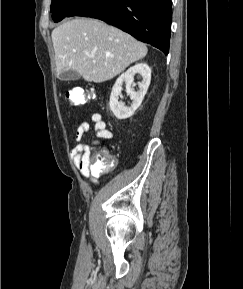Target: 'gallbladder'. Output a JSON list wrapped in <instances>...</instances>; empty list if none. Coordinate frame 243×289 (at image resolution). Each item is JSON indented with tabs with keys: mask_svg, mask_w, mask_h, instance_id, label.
<instances>
[{
	"mask_svg": "<svg viewBox=\"0 0 243 289\" xmlns=\"http://www.w3.org/2000/svg\"><path fill=\"white\" fill-rule=\"evenodd\" d=\"M61 81H75L80 79V75L74 70L64 71L59 75Z\"/></svg>",
	"mask_w": 243,
	"mask_h": 289,
	"instance_id": "1",
	"label": "gallbladder"
}]
</instances>
